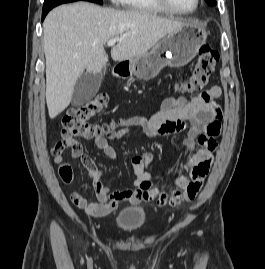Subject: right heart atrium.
Wrapping results in <instances>:
<instances>
[{
	"mask_svg": "<svg viewBox=\"0 0 265 269\" xmlns=\"http://www.w3.org/2000/svg\"><path fill=\"white\" fill-rule=\"evenodd\" d=\"M113 4H117V3H120L121 0H110Z\"/></svg>",
	"mask_w": 265,
	"mask_h": 269,
	"instance_id": "1",
	"label": "right heart atrium"
}]
</instances>
